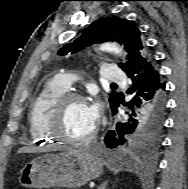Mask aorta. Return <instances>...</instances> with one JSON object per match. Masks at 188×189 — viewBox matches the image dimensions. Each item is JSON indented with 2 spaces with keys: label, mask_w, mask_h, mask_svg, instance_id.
<instances>
[{
  "label": "aorta",
  "mask_w": 188,
  "mask_h": 189,
  "mask_svg": "<svg viewBox=\"0 0 188 189\" xmlns=\"http://www.w3.org/2000/svg\"><path fill=\"white\" fill-rule=\"evenodd\" d=\"M99 49L101 51H106L110 53H115V54H121L122 49L116 44V43H104L100 45Z\"/></svg>",
  "instance_id": "aorta-1"
}]
</instances>
